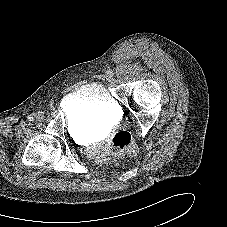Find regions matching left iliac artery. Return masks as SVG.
<instances>
[{
  "label": "left iliac artery",
  "mask_w": 227,
  "mask_h": 227,
  "mask_svg": "<svg viewBox=\"0 0 227 227\" xmlns=\"http://www.w3.org/2000/svg\"><path fill=\"white\" fill-rule=\"evenodd\" d=\"M107 75H108L109 77H113L114 73H113L111 70H109V71H107Z\"/></svg>",
  "instance_id": "obj_1"
}]
</instances>
